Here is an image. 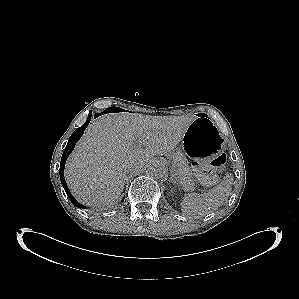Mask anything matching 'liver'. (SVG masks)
Returning <instances> with one entry per match:
<instances>
[{"label":"liver","mask_w":299,"mask_h":299,"mask_svg":"<svg viewBox=\"0 0 299 299\" xmlns=\"http://www.w3.org/2000/svg\"><path fill=\"white\" fill-rule=\"evenodd\" d=\"M194 116L113 113L93 120L68 158L65 179L75 198L100 209L119 199L130 166L172 151ZM141 141L140 147L136 142Z\"/></svg>","instance_id":"6515ba94"}]
</instances>
